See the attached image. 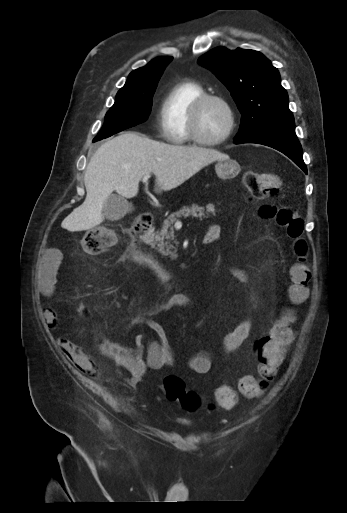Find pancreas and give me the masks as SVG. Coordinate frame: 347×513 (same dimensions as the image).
Instances as JSON below:
<instances>
[{
    "instance_id": "cf45deb5",
    "label": "pancreas",
    "mask_w": 347,
    "mask_h": 513,
    "mask_svg": "<svg viewBox=\"0 0 347 513\" xmlns=\"http://www.w3.org/2000/svg\"><path fill=\"white\" fill-rule=\"evenodd\" d=\"M214 207L215 206L213 204H207L206 207H202L196 203H193L191 206H183L181 209L172 212L163 221L161 230L157 231L155 234L154 244L157 245L158 251L165 256L173 255V252L170 250L173 246L170 244L169 240H174L175 235L173 224L178 220V218H187L189 216L196 218H207L210 212L215 214Z\"/></svg>"
}]
</instances>
